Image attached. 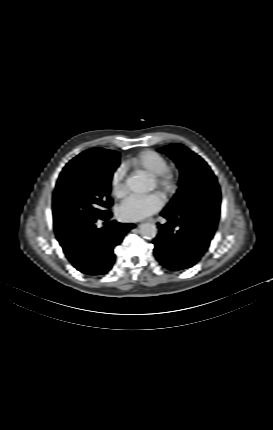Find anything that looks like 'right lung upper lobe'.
Listing matches in <instances>:
<instances>
[{"label": "right lung upper lobe", "mask_w": 273, "mask_h": 430, "mask_svg": "<svg viewBox=\"0 0 273 430\" xmlns=\"http://www.w3.org/2000/svg\"><path fill=\"white\" fill-rule=\"evenodd\" d=\"M85 153L91 154V155H99V156H103V157H114V156H117L119 154L116 151L106 150V149H102V148L89 149V150L85 151Z\"/></svg>", "instance_id": "cb5924a9"}]
</instances>
